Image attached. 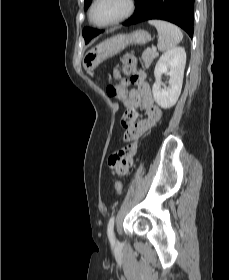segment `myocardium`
Returning <instances> with one entry per match:
<instances>
[{
    "label": "myocardium",
    "mask_w": 229,
    "mask_h": 280,
    "mask_svg": "<svg viewBox=\"0 0 229 280\" xmlns=\"http://www.w3.org/2000/svg\"><path fill=\"white\" fill-rule=\"evenodd\" d=\"M100 1L101 0H94L89 9V12H88V18H89L90 23L98 28H106V27H110V26L119 24V23L125 21L126 19L130 18L136 10V1L135 0H125L126 9L124 10V12L122 14H120L119 16H117L107 22L96 23L93 20V11Z\"/></svg>",
    "instance_id": "1"
}]
</instances>
